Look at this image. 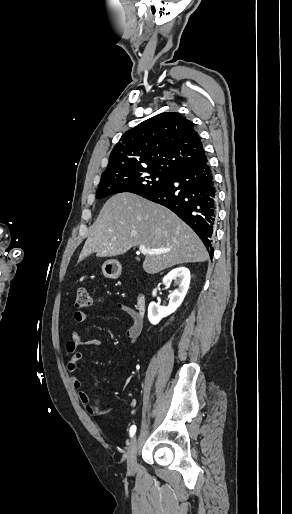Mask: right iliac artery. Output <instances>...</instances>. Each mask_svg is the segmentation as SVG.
<instances>
[{"instance_id":"82829eb1","label":"right iliac artery","mask_w":292,"mask_h":514,"mask_svg":"<svg viewBox=\"0 0 292 514\" xmlns=\"http://www.w3.org/2000/svg\"><path fill=\"white\" fill-rule=\"evenodd\" d=\"M136 432V426L135 425H132L130 427V430H129V433H130V437H133V435L135 434Z\"/></svg>"}]
</instances>
